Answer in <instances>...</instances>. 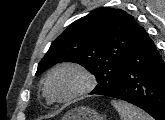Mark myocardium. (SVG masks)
Wrapping results in <instances>:
<instances>
[{
    "label": "myocardium",
    "instance_id": "obj_1",
    "mask_svg": "<svg viewBox=\"0 0 165 120\" xmlns=\"http://www.w3.org/2000/svg\"><path fill=\"white\" fill-rule=\"evenodd\" d=\"M65 70H71L78 73L83 80V84L77 91H75L71 95L64 98H58L52 93L50 89V82L55 74ZM95 83L96 81L94 75L86 67L74 62H65L55 66L48 73L44 83V92L46 96L54 102L68 103L91 92L95 87Z\"/></svg>",
    "mask_w": 165,
    "mask_h": 120
}]
</instances>
